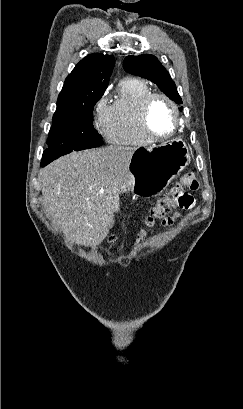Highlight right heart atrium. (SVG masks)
Returning a JSON list of instances; mask_svg holds the SVG:
<instances>
[{
    "mask_svg": "<svg viewBox=\"0 0 243 409\" xmlns=\"http://www.w3.org/2000/svg\"><path fill=\"white\" fill-rule=\"evenodd\" d=\"M109 119L110 106L107 97L104 95L98 100L94 108V127L104 136H107Z\"/></svg>",
    "mask_w": 243,
    "mask_h": 409,
    "instance_id": "obj_1",
    "label": "right heart atrium"
}]
</instances>
